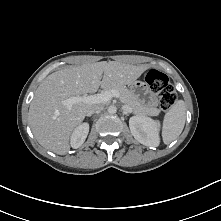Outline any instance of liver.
Wrapping results in <instances>:
<instances>
[{
    "label": "liver",
    "instance_id": "1",
    "mask_svg": "<svg viewBox=\"0 0 221 221\" xmlns=\"http://www.w3.org/2000/svg\"><path fill=\"white\" fill-rule=\"evenodd\" d=\"M147 68L110 61L83 64L50 74L38 87L29 108V123L41 146L64 155L70 150L72 132L92 109V104H73L71 110L63 101L109 85L131 84ZM102 79V80H101Z\"/></svg>",
    "mask_w": 221,
    "mask_h": 221
}]
</instances>
